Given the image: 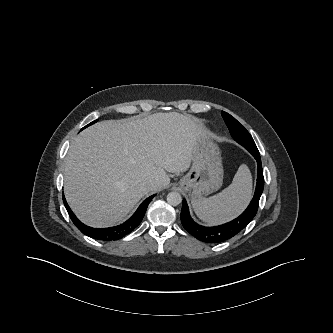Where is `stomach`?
<instances>
[{
    "label": "stomach",
    "mask_w": 333,
    "mask_h": 333,
    "mask_svg": "<svg viewBox=\"0 0 333 333\" xmlns=\"http://www.w3.org/2000/svg\"><path fill=\"white\" fill-rule=\"evenodd\" d=\"M223 182V167L218 146L209 138H201L193 150L190 171L179 186L192 200L203 199L217 191Z\"/></svg>",
    "instance_id": "stomach-1"
}]
</instances>
